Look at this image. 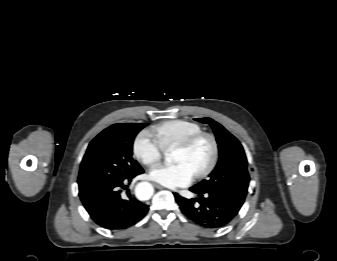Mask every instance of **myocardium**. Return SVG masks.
<instances>
[{"mask_svg": "<svg viewBox=\"0 0 337 261\" xmlns=\"http://www.w3.org/2000/svg\"><path fill=\"white\" fill-rule=\"evenodd\" d=\"M203 139H207L210 141L211 146H212V157H211L210 162L204 169L194 174V176L197 179L205 178L217 166L219 156H220V146H219V142L216 136L213 135L212 133L200 132V133L190 136L189 138L185 139L183 142H181L175 147V150L188 151L192 149L198 142H200Z\"/></svg>", "mask_w": 337, "mask_h": 261, "instance_id": "obj_1", "label": "myocardium"}]
</instances>
